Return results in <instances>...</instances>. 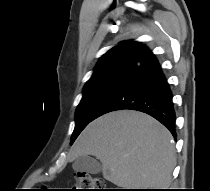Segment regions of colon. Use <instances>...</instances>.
Wrapping results in <instances>:
<instances>
[{
    "label": "colon",
    "mask_w": 210,
    "mask_h": 191,
    "mask_svg": "<svg viewBox=\"0 0 210 191\" xmlns=\"http://www.w3.org/2000/svg\"><path fill=\"white\" fill-rule=\"evenodd\" d=\"M75 191H106V189L101 178L80 172L76 175Z\"/></svg>",
    "instance_id": "5ec220e1"
}]
</instances>
